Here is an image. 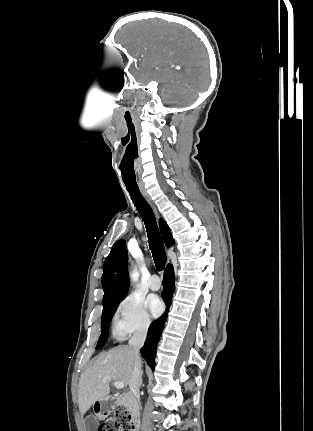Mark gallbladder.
Instances as JSON below:
<instances>
[{
	"label": "gallbladder",
	"instance_id": "obj_1",
	"mask_svg": "<svg viewBox=\"0 0 313 431\" xmlns=\"http://www.w3.org/2000/svg\"><path fill=\"white\" fill-rule=\"evenodd\" d=\"M97 425V419L94 417H88L86 419V431H91Z\"/></svg>",
	"mask_w": 313,
	"mask_h": 431
}]
</instances>
